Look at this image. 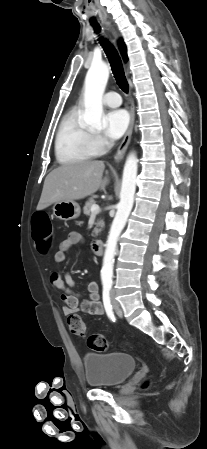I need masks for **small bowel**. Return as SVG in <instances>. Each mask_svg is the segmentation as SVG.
<instances>
[{
	"label": "small bowel",
	"instance_id": "c3829d8e",
	"mask_svg": "<svg viewBox=\"0 0 207 449\" xmlns=\"http://www.w3.org/2000/svg\"><path fill=\"white\" fill-rule=\"evenodd\" d=\"M82 242L83 237L80 233L71 232L61 242L59 250L54 255V261L58 264L63 263L66 258V252ZM51 283L56 289L63 292L61 300L65 303L63 306V313L65 315L69 316L79 312L95 316L103 314L104 308L100 302L98 286L95 281H89L87 283V298L85 299L73 290L76 287V282L69 272L64 274L53 273Z\"/></svg>",
	"mask_w": 207,
	"mask_h": 449
}]
</instances>
